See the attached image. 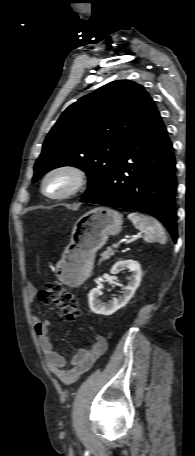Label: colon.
I'll return each mask as SVG.
<instances>
[{
  "mask_svg": "<svg viewBox=\"0 0 195 456\" xmlns=\"http://www.w3.org/2000/svg\"><path fill=\"white\" fill-rule=\"evenodd\" d=\"M39 299L45 304H53L73 321L79 314V306L74 295L59 284L49 283L39 292Z\"/></svg>",
  "mask_w": 195,
  "mask_h": 456,
  "instance_id": "obj_1",
  "label": "colon"
}]
</instances>
